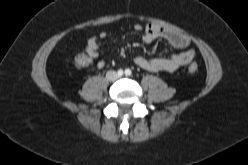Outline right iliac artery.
I'll list each match as a JSON object with an SVG mask.
<instances>
[{"label":"right iliac artery","instance_id":"right-iliac-artery-1","mask_svg":"<svg viewBox=\"0 0 248 165\" xmlns=\"http://www.w3.org/2000/svg\"><path fill=\"white\" fill-rule=\"evenodd\" d=\"M118 75L119 76H122L123 75V70L122 69L118 70Z\"/></svg>","mask_w":248,"mask_h":165}]
</instances>
